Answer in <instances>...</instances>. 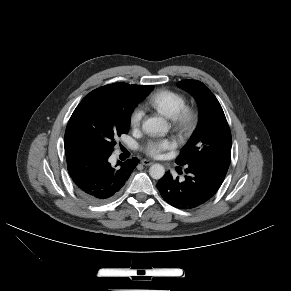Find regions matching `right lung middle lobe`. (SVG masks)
I'll list each match as a JSON object with an SVG mask.
<instances>
[{"label":"right lung middle lobe","instance_id":"obj_1","mask_svg":"<svg viewBox=\"0 0 291 291\" xmlns=\"http://www.w3.org/2000/svg\"><path fill=\"white\" fill-rule=\"evenodd\" d=\"M153 86L147 87L148 94ZM136 102L124 105L101 104L87 95L74 110L65 131V153L77 149H98L112 152L115 138L127 134L130 116Z\"/></svg>","mask_w":291,"mask_h":291}]
</instances>
